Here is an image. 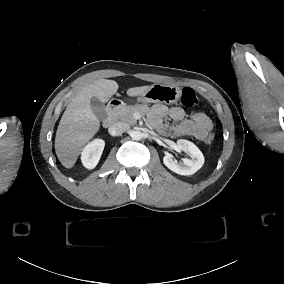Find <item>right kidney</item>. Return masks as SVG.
Listing matches in <instances>:
<instances>
[{"instance_id": "obj_1", "label": "right kidney", "mask_w": 284, "mask_h": 284, "mask_svg": "<svg viewBox=\"0 0 284 284\" xmlns=\"http://www.w3.org/2000/svg\"><path fill=\"white\" fill-rule=\"evenodd\" d=\"M104 148V142L102 140H96L86 147L82 155L83 164L93 169L98 164Z\"/></svg>"}]
</instances>
